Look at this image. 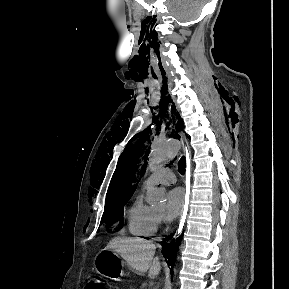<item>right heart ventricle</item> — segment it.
Here are the masks:
<instances>
[{
    "mask_svg": "<svg viewBox=\"0 0 289 289\" xmlns=\"http://www.w3.org/2000/svg\"><path fill=\"white\" fill-rule=\"evenodd\" d=\"M127 226L134 236L150 237L157 231V220L152 209L144 203L143 194L139 193L126 211Z\"/></svg>",
    "mask_w": 289,
    "mask_h": 289,
    "instance_id": "right-heart-ventricle-1",
    "label": "right heart ventricle"
}]
</instances>
